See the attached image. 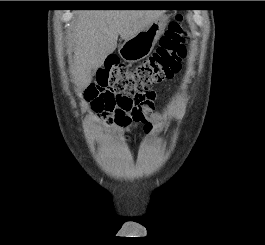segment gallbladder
I'll list each match as a JSON object with an SVG mask.
<instances>
[{"instance_id": "1", "label": "gallbladder", "mask_w": 265, "mask_h": 245, "mask_svg": "<svg viewBox=\"0 0 265 245\" xmlns=\"http://www.w3.org/2000/svg\"><path fill=\"white\" fill-rule=\"evenodd\" d=\"M94 72H95V69H92V70H91V74H94Z\"/></svg>"}]
</instances>
